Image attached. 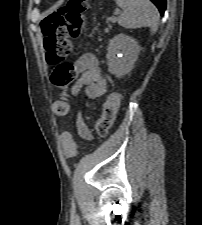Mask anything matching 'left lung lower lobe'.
<instances>
[{"mask_svg": "<svg viewBox=\"0 0 202 225\" xmlns=\"http://www.w3.org/2000/svg\"><path fill=\"white\" fill-rule=\"evenodd\" d=\"M150 1H152L156 5L161 15H163L166 9V0H150Z\"/></svg>", "mask_w": 202, "mask_h": 225, "instance_id": "1", "label": "left lung lower lobe"}]
</instances>
